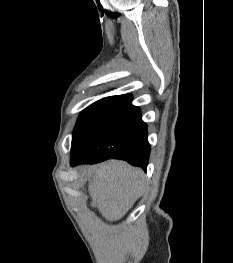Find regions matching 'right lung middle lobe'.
Wrapping results in <instances>:
<instances>
[{
	"instance_id": "obj_1",
	"label": "right lung middle lobe",
	"mask_w": 233,
	"mask_h": 263,
	"mask_svg": "<svg viewBox=\"0 0 233 263\" xmlns=\"http://www.w3.org/2000/svg\"><path fill=\"white\" fill-rule=\"evenodd\" d=\"M117 98L114 96L101 99L83 110L74 128L72 142L87 134L114 105Z\"/></svg>"
}]
</instances>
